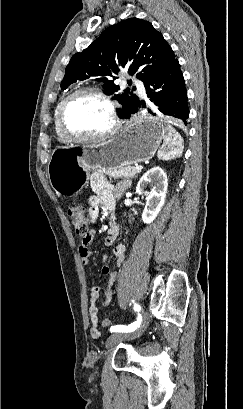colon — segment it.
Wrapping results in <instances>:
<instances>
[{
	"label": "colon",
	"instance_id": "1",
	"mask_svg": "<svg viewBox=\"0 0 243 409\" xmlns=\"http://www.w3.org/2000/svg\"><path fill=\"white\" fill-rule=\"evenodd\" d=\"M68 216L71 219L72 225L77 235L84 238L88 234L89 220L86 216L84 209L77 205L72 204L68 207ZM113 323L110 319L105 318L102 321V326L109 328L112 327Z\"/></svg>",
	"mask_w": 243,
	"mask_h": 409
}]
</instances>
